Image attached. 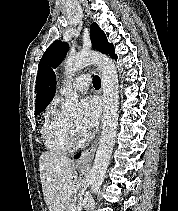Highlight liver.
Instances as JSON below:
<instances>
[{
	"instance_id": "obj_1",
	"label": "liver",
	"mask_w": 178,
	"mask_h": 211,
	"mask_svg": "<svg viewBox=\"0 0 178 211\" xmlns=\"http://www.w3.org/2000/svg\"><path fill=\"white\" fill-rule=\"evenodd\" d=\"M40 180L49 211H64L76 190L75 162L54 152H45L39 159Z\"/></svg>"
}]
</instances>
